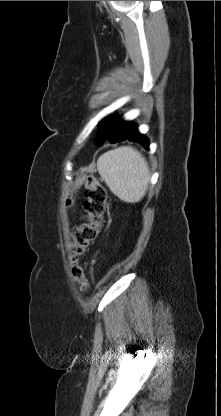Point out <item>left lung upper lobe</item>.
<instances>
[{"label":"left lung upper lobe","instance_id":"1","mask_svg":"<svg viewBox=\"0 0 221 416\" xmlns=\"http://www.w3.org/2000/svg\"><path fill=\"white\" fill-rule=\"evenodd\" d=\"M133 124L120 119V117H106L99 125L97 142L102 144L105 140L114 142L126 135L132 129Z\"/></svg>","mask_w":221,"mask_h":416}]
</instances>
